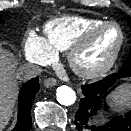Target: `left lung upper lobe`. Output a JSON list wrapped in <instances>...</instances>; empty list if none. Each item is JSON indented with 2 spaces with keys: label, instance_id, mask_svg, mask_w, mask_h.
Segmentation results:
<instances>
[{
  "label": "left lung upper lobe",
  "instance_id": "1",
  "mask_svg": "<svg viewBox=\"0 0 131 131\" xmlns=\"http://www.w3.org/2000/svg\"><path fill=\"white\" fill-rule=\"evenodd\" d=\"M128 22H129V25H130V28H131V18L128 20ZM127 67H131V49H130V53H129V55H128L124 65L122 66L121 69L127 68Z\"/></svg>",
  "mask_w": 131,
  "mask_h": 131
}]
</instances>
